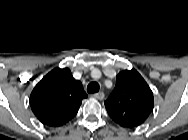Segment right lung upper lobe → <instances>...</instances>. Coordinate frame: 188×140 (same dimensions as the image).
<instances>
[{"instance_id": "cb5924a9", "label": "right lung upper lobe", "mask_w": 188, "mask_h": 140, "mask_svg": "<svg viewBox=\"0 0 188 140\" xmlns=\"http://www.w3.org/2000/svg\"><path fill=\"white\" fill-rule=\"evenodd\" d=\"M87 98L80 81L68 68H55L33 89L30 105L35 116L44 125L59 127L69 122Z\"/></svg>"}]
</instances>
